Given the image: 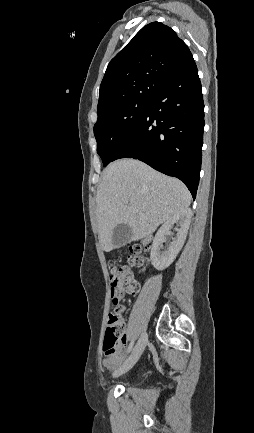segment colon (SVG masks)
Listing matches in <instances>:
<instances>
[{"label": "colon", "mask_w": 254, "mask_h": 433, "mask_svg": "<svg viewBox=\"0 0 254 433\" xmlns=\"http://www.w3.org/2000/svg\"><path fill=\"white\" fill-rule=\"evenodd\" d=\"M139 261V249L134 248L126 258V265H110L111 283V311L108 316V325L105 333L104 352L106 355L114 354L122 344L124 337V323L121 319L119 301L114 295L117 291L133 294L138 291V284L133 277L131 267Z\"/></svg>", "instance_id": "obj_1"}]
</instances>
